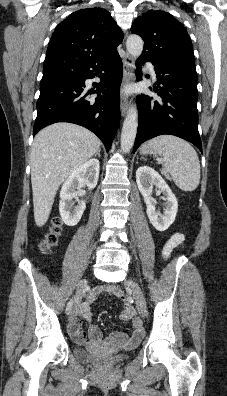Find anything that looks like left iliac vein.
I'll return each mask as SVG.
<instances>
[{"label":"left iliac vein","instance_id":"obj_1","mask_svg":"<svg viewBox=\"0 0 227 396\" xmlns=\"http://www.w3.org/2000/svg\"><path fill=\"white\" fill-rule=\"evenodd\" d=\"M125 284L127 287H129L132 290L133 297L135 299L137 308H138L141 316L144 318L146 315V302H145V298H144L141 288L135 281H133L131 279H128L125 282Z\"/></svg>","mask_w":227,"mask_h":396}]
</instances>
